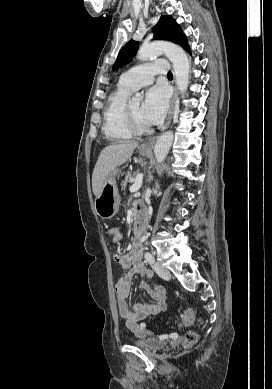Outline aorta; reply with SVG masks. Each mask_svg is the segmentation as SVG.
Here are the masks:
<instances>
[{"instance_id":"aorta-1","label":"aorta","mask_w":272,"mask_h":389,"mask_svg":"<svg viewBox=\"0 0 272 389\" xmlns=\"http://www.w3.org/2000/svg\"><path fill=\"white\" fill-rule=\"evenodd\" d=\"M161 54H165L172 62L177 87L179 92L184 95L189 85L190 62L187 54L181 47L169 42H152L140 47L137 58L145 61ZM142 99L143 96L140 93H136L132 98V102H140ZM173 139L172 131H167L158 138L154 147V154L158 163H161L166 158Z\"/></svg>"}]
</instances>
